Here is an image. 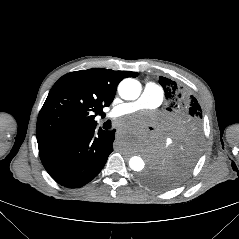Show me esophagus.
<instances>
[{
  "mask_svg": "<svg viewBox=\"0 0 239 239\" xmlns=\"http://www.w3.org/2000/svg\"><path fill=\"white\" fill-rule=\"evenodd\" d=\"M115 138H116V140L121 141V140H123L124 135H123V133L118 132V133H116Z\"/></svg>",
  "mask_w": 239,
  "mask_h": 239,
  "instance_id": "34e87169",
  "label": "esophagus"
}]
</instances>
